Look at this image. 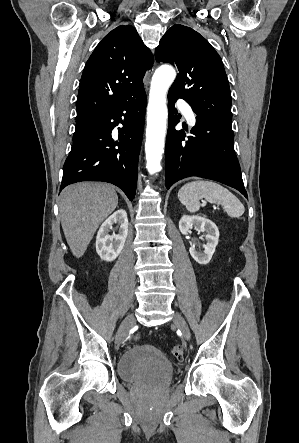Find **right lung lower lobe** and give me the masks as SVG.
<instances>
[{
	"instance_id": "right-lung-lower-lobe-1",
	"label": "right lung lower lobe",
	"mask_w": 299,
	"mask_h": 443,
	"mask_svg": "<svg viewBox=\"0 0 299 443\" xmlns=\"http://www.w3.org/2000/svg\"><path fill=\"white\" fill-rule=\"evenodd\" d=\"M144 88L117 106L100 113L77 141L63 167L61 189L80 181H104L121 188L129 200L136 193L139 151L143 136ZM119 123L118 139L111 132Z\"/></svg>"
}]
</instances>
